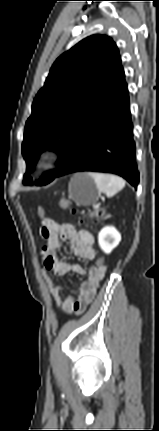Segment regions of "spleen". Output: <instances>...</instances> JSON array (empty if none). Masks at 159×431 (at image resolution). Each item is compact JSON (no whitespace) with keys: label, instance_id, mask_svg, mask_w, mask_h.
<instances>
[{"label":"spleen","instance_id":"1","mask_svg":"<svg viewBox=\"0 0 159 431\" xmlns=\"http://www.w3.org/2000/svg\"><path fill=\"white\" fill-rule=\"evenodd\" d=\"M97 185L99 192L104 193L108 198L113 197L125 186V181L118 176L103 173H89Z\"/></svg>","mask_w":159,"mask_h":431}]
</instances>
